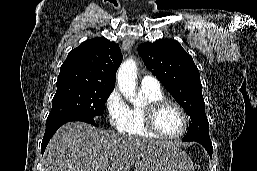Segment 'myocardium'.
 Wrapping results in <instances>:
<instances>
[{"label":"myocardium","mask_w":257,"mask_h":171,"mask_svg":"<svg viewBox=\"0 0 257 171\" xmlns=\"http://www.w3.org/2000/svg\"><path fill=\"white\" fill-rule=\"evenodd\" d=\"M167 105L174 106L181 113L183 118V129L180 133L176 135H167L162 133L158 129L156 124V117L158 112ZM144 122L149 132L154 134L156 137L168 140H175L181 138L186 134L189 127V119L185 109L178 102L168 98H162L146 104L144 108Z\"/></svg>","instance_id":"1"}]
</instances>
